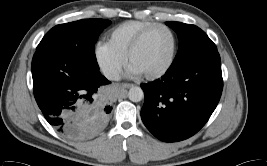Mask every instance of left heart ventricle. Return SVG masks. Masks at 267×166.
Segmentation results:
<instances>
[{"label": "left heart ventricle", "mask_w": 267, "mask_h": 166, "mask_svg": "<svg viewBox=\"0 0 267 166\" xmlns=\"http://www.w3.org/2000/svg\"><path fill=\"white\" fill-rule=\"evenodd\" d=\"M172 48L170 34L163 29L151 33L132 58V65L142 73L161 69L168 61Z\"/></svg>", "instance_id": "left-heart-ventricle-1"}]
</instances>
